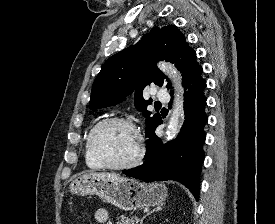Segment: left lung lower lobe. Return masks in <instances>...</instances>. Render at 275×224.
I'll return each instance as SVG.
<instances>
[{
	"label": "left lung lower lobe",
	"instance_id": "1",
	"mask_svg": "<svg viewBox=\"0 0 275 224\" xmlns=\"http://www.w3.org/2000/svg\"><path fill=\"white\" fill-rule=\"evenodd\" d=\"M202 67L183 83L185 121L180 134L172 142L163 145L155 134L158 121L146 132L147 150L142 165L129 169L125 175L145 182L175 180L184 184L198 200L199 175L204 161V126L207 115L204 111L206 97L203 89L206 81L201 77ZM172 95V92H171Z\"/></svg>",
	"mask_w": 275,
	"mask_h": 224
}]
</instances>
